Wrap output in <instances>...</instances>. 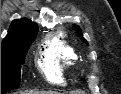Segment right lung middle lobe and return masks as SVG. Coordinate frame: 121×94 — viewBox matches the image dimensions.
Here are the masks:
<instances>
[{
  "label": "right lung middle lobe",
  "mask_w": 121,
  "mask_h": 94,
  "mask_svg": "<svg viewBox=\"0 0 121 94\" xmlns=\"http://www.w3.org/2000/svg\"><path fill=\"white\" fill-rule=\"evenodd\" d=\"M37 33L1 46V94L19 87L21 65Z\"/></svg>",
  "instance_id": "obj_1"
}]
</instances>
